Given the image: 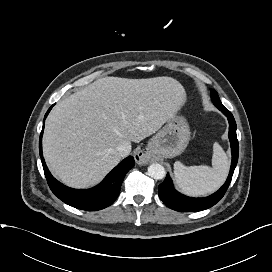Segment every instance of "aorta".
Segmentation results:
<instances>
[{"instance_id":"obj_1","label":"aorta","mask_w":272,"mask_h":272,"mask_svg":"<svg viewBox=\"0 0 272 272\" xmlns=\"http://www.w3.org/2000/svg\"><path fill=\"white\" fill-rule=\"evenodd\" d=\"M165 174V168L159 163H153L148 167V175L153 179H163Z\"/></svg>"}]
</instances>
